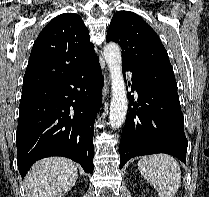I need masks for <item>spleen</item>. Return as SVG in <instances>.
Segmentation results:
<instances>
[{"label": "spleen", "instance_id": "spleen-1", "mask_svg": "<svg viewBox=\"0 0 209 197\" xmlns=\"http://www.w3.org/2000/svg\"><path fill=\"white\" fill-rule=\"evenodd\" d=\"M137 165L159 197H174L181 183V169L175 158L167 154H154L141 158Z\"/></svg>", "mask_w": 209, "mask_h": 197}]
</instances>
